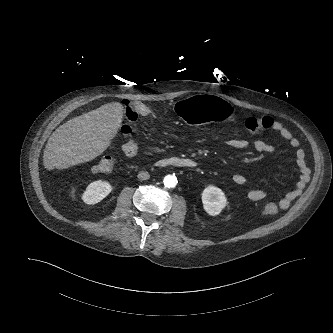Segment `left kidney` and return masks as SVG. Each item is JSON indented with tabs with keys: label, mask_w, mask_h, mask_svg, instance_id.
I'll list each match as a JSON object with an SVG mask.
<instances>
[{
	"label": "left kidney",
	"mask_w": 333,
	"mask_h": 333,
	"mask_svg": "<svg viewBox=\"0 0 333 333\" xmlns=\"http://www.w3.org/2000/svg\"><path fill=\"white\" fill-rule=\"evenodd\" d=\"M204 210L211 216L219 215L227 205L223 191L215 186H207L202 193Z\"/></svg>",
	"instance_id": "left-kidney-1"
}]
</instances>
